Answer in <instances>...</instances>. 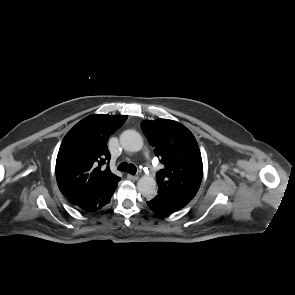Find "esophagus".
<instances>
[{"label":"esophagus","instance_id":"34e87169","mask_svg":"<svg viewBox=\"0 0 295 295\" xmlns=\"http://www.w3.org/2000/svg\"><path fill=\"white\" fill-rule=\"evenodd\" d=\"M127 178L129 180H133V181H136L139 179V177L137 175H131V174H127Z\"/></svg>","mask_w":295,"mask_h":295}]
</instances>
